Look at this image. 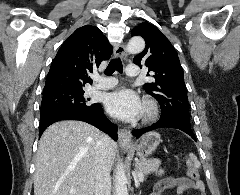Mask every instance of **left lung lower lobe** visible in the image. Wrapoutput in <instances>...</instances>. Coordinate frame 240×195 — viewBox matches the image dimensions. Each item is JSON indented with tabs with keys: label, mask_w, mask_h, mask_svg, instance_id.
Returning a JSON list of instances; mask_svg holds the SVG:
<instances>
[{
	"label": "left lung lower lobe",
	"mask_w": 240,
	"mask_h": 195,
	"mask_svg": "<svg viewBox=\"0 0 240 195\" xmlns=\"http://www.w3.org/2000/svg\"><path fill=\"white\" fill-rule=\"evenodd\" d=\"M158 128H175L184 131L185 133L189 134L194 140V133L191 129L190 122H186L183 120L175 119V118H163L160 119L158 122L154 123L151 126L141 128V129H135L132 131V134L136 136V138H139L142 134L149 132L154 129Z\"/></svg>",
	"instance_id": "0a47b994"
}]
</instances>
